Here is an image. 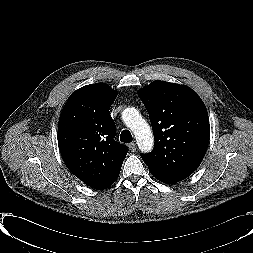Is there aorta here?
<instances>
[{
  "label": "aorta",
  "instance_id": "762f6f07",
  "mask_svg": "<svg viewBox=\"0 0 253 253\" xmlns=\"http://www.w3.org/2000/svg\"><path fill=\"white\" fill-rule=\"evenodd\" d=\"M122 119L126 126L134 133L138 147L142 152H150L154 145V138L149 124L133 107L124 109Z\"/></svg>",
  "mask_w": 253,
  "mask_h": 253
}]
</instances>
